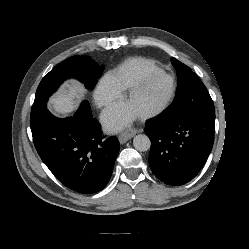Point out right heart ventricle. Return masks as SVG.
<instances>
[{"label": "right heart ventricle", "instance_id": "right-heart-ventricle-1", "mask_svg": "<svg viewBox=\"0 0 249 249\" xmlns=\"http://www.w3.org/2000/svg\"><path fill=\"white\" fill-rule=\"evenodd\" d=\"M161 72L162 69L152 60L133 57L122 62L110 73V77L120 91H125L145 76Z\"/></svg>", "mask_w": 249, "mask_h": 249}]
</instances>
